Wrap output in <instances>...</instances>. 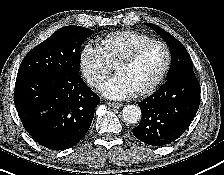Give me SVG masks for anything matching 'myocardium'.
I'll use <instances>...</instances> for the list:
<instances>
[{
	"label": "myocardium",
	"mask_w": 224,
	"mask_h": 175,
	"mask_svg": "<svg viewBox=\"0 0 224 175\" xmlns=\"http://www.w3.org/2000/svg\"><path fill=\"white\" fill-rule=\"evenodd\" d=\"M151 45H160L164 49V52H165L164 64L159 74L150 84H148L147 86L135 92L137 96H141L153 91L166 76L170 67V63H171V51L169 46L164 41H161V40H155V39L148 40L138 45L136 48H134L130 53H128L122 59H120L115 65V70L117 71L118 68H120L121 66L129 65L133 63L140 56V54Z\"/></svg>",
	"instance_id": "myocardium-1"
}]
</instances>
